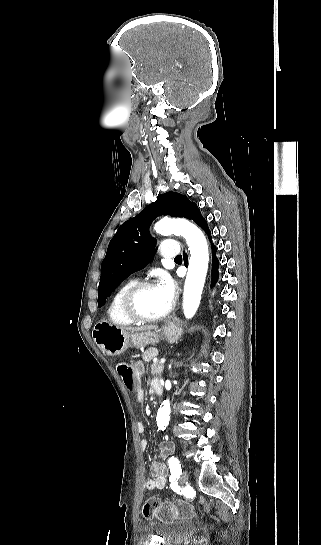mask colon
Wrapping results in <instances>:
<instances>
[{
    "mask_svg": "<svg viewBox=\"0 0 321 545\" xmlns=\"http://www.w3.org/2000/svg\"><path fill=\"white\" fill-rule=\"evenodd\" d=\"M117 371L121 376L125 386L129 390L137 387V380L132 364L128 361H121L117 365ZM191 514V507L184 503H162L158 498L152 497L146 501L143 506V516L145 518L156 517L160 520L169 521L176 518H185Z\"/></svg>",
    "mask_w": 321,
    "mask_h": 545,
    "instance_id": "5ec220e1",
    "label": "colon"
}]
</instances>
